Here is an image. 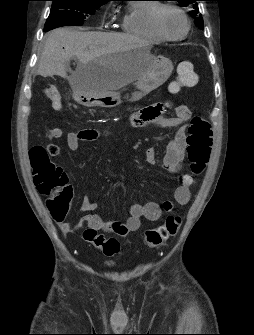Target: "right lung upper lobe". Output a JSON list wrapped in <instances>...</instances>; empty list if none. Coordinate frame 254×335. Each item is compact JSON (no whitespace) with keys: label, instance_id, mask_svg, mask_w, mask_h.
<instances>
[{"label":"right lung upper lobe","instance_id":"cb5924a9","mask_svg":"<svg viewBox=\"0 0 254 335\" xmlns=\"http://www.w3.org/2000/svg\"><path fill=\"white\" fill-rule=\"evenodd\" d=\"M101 1H106L107 2V1H110V0H101Z\"/></svg>","mask_w":254,"mask_h":335}]
</instances>
